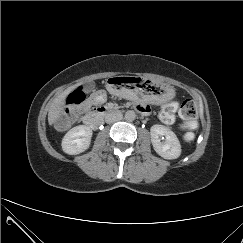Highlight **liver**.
<instances>
[{
    "label": "liver",
    "mask_w": 243,
    "mask_h": 243,
    "mask_svg": "<svg viewBox=\"0 0 243 243\" xmlns=\"http://www.w3.org/2000/svg\"><path fill=\"white\" fill-rule=\"evenodd\" d=\"M76 88L75 86H71L63 91L60 95H58L52 102L49 112H48V122L49 125H53L57 119L60 117L61 113L65 108V100L70 92H72Z\"/></svg>",
    "instance_id": "obj_1"
}]
</instances>
